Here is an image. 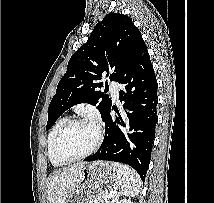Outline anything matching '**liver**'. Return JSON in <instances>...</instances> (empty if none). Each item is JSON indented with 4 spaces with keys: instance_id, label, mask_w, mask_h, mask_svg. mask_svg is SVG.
<instances>
[{
    "instance_id": "liver-1",
    "label": "liver",
    "mask_w": 214,
    "mask_h": 203,
    "mask_svg": "<svg viewBox=\"0 0 214 203\" xmlns=\"http://www.w3.org/2000/svg\"><path fill=\"white\" fill-rule=\"evenodd\" d=\"M85 165L86 163L80 162L51 174L47 188L49 203H66L68 197L77 188Z\"/></svg>"
}]
</instances>
